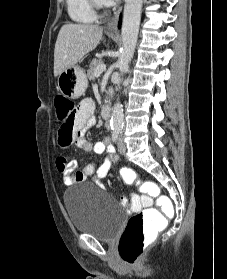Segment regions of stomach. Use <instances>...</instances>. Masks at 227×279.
Masks as SVG:
<instances>
[{"label": "stomach", "mask_w": 227, "mask_h": 279, "mask_svg": "<svg viewBox=\"0 0 227 279\" xmlns=\"http://www.w3.org/2000/svg\"><path fill=\"white\" fill-rule=\"evenodd\" d=\"M88 86L85 71L78 65L65 69L58 75L57 88L66 97L79 98Z\"/></svg>", "instance_id": "1"}]
</instances>
